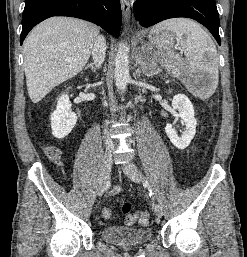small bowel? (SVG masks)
Here are the masks:
<instances>
[{
    "mask_svg": "<svg viewBox=\"0 0 247 257\" xmlns=\"http://www.w3.org/2000/svg\"><path fill=\"white\" fill-rule=\"evenodd\" d=\"M54 149L56 150L57 155H56L55 157H50V158L53 159V160H58V158H59V151H58L56 148H54ZM118 190H119V188H118V187H115V188L113 189L112 193L115 194V193L118 192Z\"/></svg>",
    "mask_w": 247,
    "mask_h": 257,
    "instance_id": "c3829d8e",
    "label": "small bowel"
}]
</instances>
